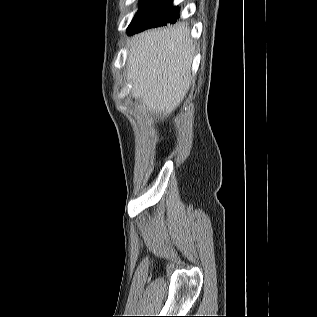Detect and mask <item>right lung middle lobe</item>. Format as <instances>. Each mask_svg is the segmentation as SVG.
Instances as JSON below:
<instances>
[{
  "instance_id": "obj_1",
  "label": "right lung middle lobe",
  "mask_w": 317,
  "mask_h": 317,
  "mask_svg": "<svg viewBox=\"0 0 317 317\" xmlns=\"http://www.w3.org/2000/svg\"><path fill=\"white\" fill-rule=\"evenodd\" d=\"M178 8L172 0H141L139 10L129 25L128 33H138L149 27L175 23L179 17Z\"/></svg>"
}]
</instances>
